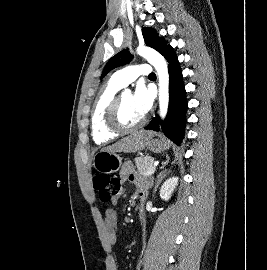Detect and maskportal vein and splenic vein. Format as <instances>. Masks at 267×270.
<instances>
[{"label":"portal vein and splenic vein","mask_w":267,"mask_h":270,"mask_svg":"<svg viewBox=\"0 0 267 270\" xmlns=\"http://www.w3.org/2000/svg\"><path fill=\"white\" fill-rule=\"evenodd\" d=\"M157 165H158V162H155L153 165V168L149 170L146 175H152L155 172Z\"/></svg>","instance_id":"obj_1"}]
</instances>
